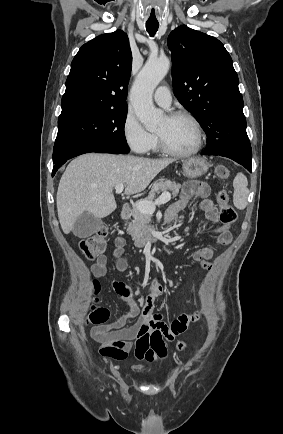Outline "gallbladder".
Instances as JSON below:
<instances>
[{"mask_svg":"<svg viewBox=\"0 0 283 434\" xmlns=\"http://www.w3.org/2000/svg\"><path fill=\"white\" fill-rule=\"evenodd\" d=\"M102 226L103 222L101 219L85 212L76 220L72 231L76 237L86 238L99 231Z\"/></svg>","mask_w":283,"mask_h":434,"instance_id":"bac80fb5","label":"gallbladder"}]
</instances>
